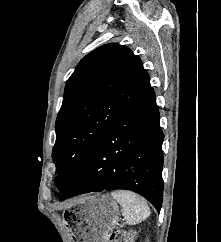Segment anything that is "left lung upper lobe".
<instances>
[{
    "label": "left lung upper lobe",
    "instance_id": "5c2ea615",
    "mask_svg": "<svg viewBox=\"0 0 221 242\" xmlns=\"http://www.w3.org/2000/svg\"><path fill=\"white\" fill-rule=\"evenodd\" d=\"M150 87L141 59L123 45H103L80 61L55 124L52 158L61 191L78 181L102 134Z\"/></svg>",
    "mask_w": 221,
    "mask_h": 242
}]
</instances>
